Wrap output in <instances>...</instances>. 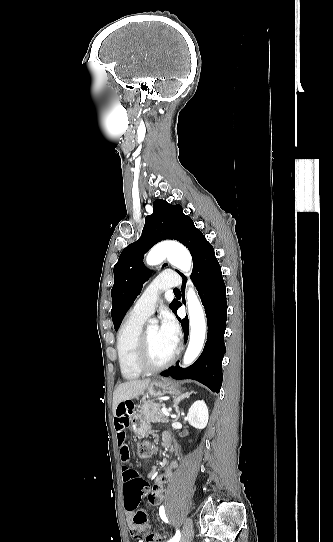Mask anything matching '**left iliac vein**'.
<instances>
[{"label": "left iliac vein", "mask_w": 333, "mask_h": 542, "mask_svg": "<svg viewBox=\"0 0 333 542\" xmlns=\"http://www.w3.org/2000/svg\"><path fill=\"white\" fill-rule=\"evenodd\" d=\"M193 534H194V531H193L192 522L190 519H187L183 526L182 537H181L180 542H191Z\"/></svg>", "instance_id": "left-iliac-vein-1"}]
</instances>
